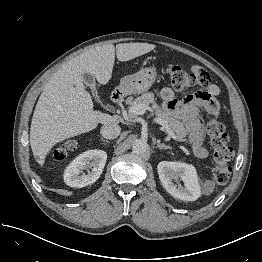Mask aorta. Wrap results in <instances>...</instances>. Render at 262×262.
Masks as SVG:
<instances>
[{
	"instance_id": "aorta-1",
	"label": "aorta",
	"mask_w": 262,
	"mask_h": 262,
	"mask_svg": "<svg viewBox=\"0 0 262 262\" xmlns=\"http://www.w3.org/2000/svg\"><path fill=\"white\" fill-rule=\"evenodd\" d=\"M132 150L137 154H144L148 150V144L144 139H136L132 144Z\"/></svg>"
}]
</instances>
